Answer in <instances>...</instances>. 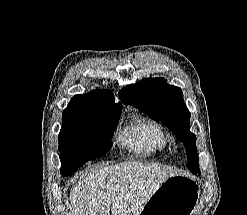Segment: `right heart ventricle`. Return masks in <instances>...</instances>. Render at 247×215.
<instances>
[{
  "mask_svg": "<svg viewBox=\"0 0 247 215\" xmlns=\"http://www.w3.org/2000/svg\"><path fill=\"white\" fill-rule=\"evenodd\" d=\"M122 146L135 155L151 157L166 149L167 135L160 123L146 117L135 116L118 134Z\"/></svg>",
  "mask_w": 247,
  "mask_h": 215,
  "instance_id": "e07e8e85",
  "label": "right heart ventricle"
}]
</instances>
